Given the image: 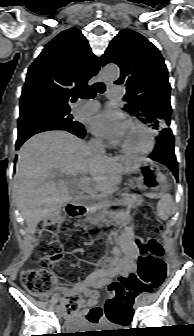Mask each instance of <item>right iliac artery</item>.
<instances>
[{
    "mask_svg": "<svg viewBox=\"0 0 194 336\" xmlns=\"http://www.w3.org/2000/svg\"><path fill=\"white\" fill-rule=\"evenodd\" d=\"M63 306V302H61V305L60 306H58V307H62Z\"/></svg>",
    "mask_w": 194,
    "mask_h": 336,
    "instance_id": "82829eb1",
    "label": "right iliac artery"
}]
</instances>
